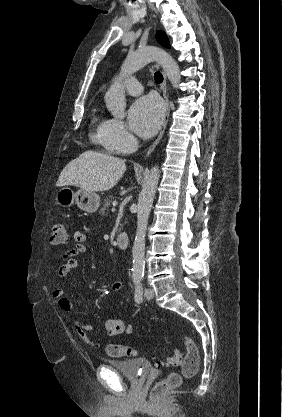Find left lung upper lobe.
Returning a JSON list of instances; mask_svg holds the SVG:
<instances>
[{
    "label": "left lung upper lobe",
    "instance_id": "obj_1",
    "mask_svg": "<svg viewBox=\"0 0 282 417\" xmlns=\"http://www.w3.org/2000/svg\"><path fill=\"white\" fill-rule=\"evenodd\" d=\"M156 39L162 46L167 47V48L170 47L168 38L164 32L162 31L157 32Z\"/></svg>",
    "mask_w": 282,
    "mask_h": 417
}]
</instances>
